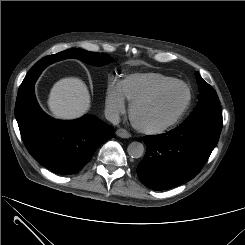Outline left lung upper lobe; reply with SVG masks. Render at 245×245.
Listing matches in <instances>:
<instances>
[{"label":"left lung upper lobe","instance_id":"left-lung-upper-lobe-1","mask_svg":"<svg viewBox=\"0 0 245 245\" xmlns=\"http://www.w3.org/2000/svg\"><path fill=\"white\" fill-rule=\"evenodd\" d=\"M196 79L200 91L199 102L182 124L203 123L222 128V113L216 91L201 78L198 72H196Z\"/></svg>","mask_w":245,"mask_h":245}]
</instances>
